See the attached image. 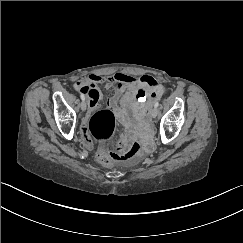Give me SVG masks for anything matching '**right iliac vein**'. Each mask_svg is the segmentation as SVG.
Returning <instances> with one entry per match:
<instances>
[{
	"mask_svg": "<svg viewBox=\"0 0 243 243\" xmlns=\"http://www.w3.org/2000/svg\"><path fill=\"white\" fill-rule=\"evenodd\" d=\"M80 106H81V110L82 111H85L86 110L87 105H86V102L85 101H82Z\"/></svg>",
	"mask_w": 243,
	"mask_h": 243,
	"instance_id": "right-iliac-vein-1",
	"label": "right iliac vein"
}]
</instances>
